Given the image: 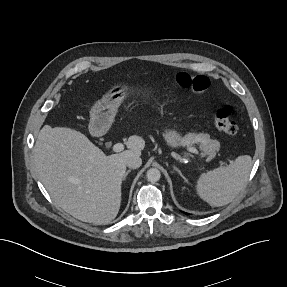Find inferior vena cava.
I'll return each instance as SVG.
<instances>
[{"label":"inferior vena cava","instance_id":"inferior-vena-cava-1","mask_svg":"<svg viewBox=\"0 0 287 287\" xmlns=\"http://www.w3.org/2000/svg\"><path fill=\"white\" fill-rule=\"evenodd\" d=\"M142 165V159L139 156L133 155L127 158L126 166L132 169L139 168Z\"/></svg>","mask_w":287,"mask_h":287}]
</instances>
